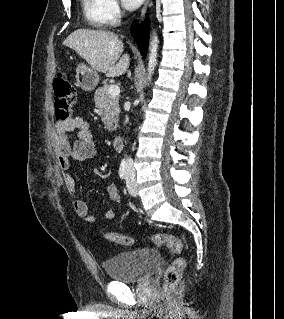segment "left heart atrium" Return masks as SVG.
<instances>
[{"label": "left heart atrium", "instance_id": "39dd6f15", "mask_svg": "<svg viewBox=\"0 0 284 319\" xmlns=\"http://www.w3.org/2000/svg\"><path fill=\"white\" fill-rule=\"evenodd\" d=\"M125 8L134 10L138 8L144 0H121Z\"/></svg>", "mask_w": 284, "mask_h": 319}]
</instances>
